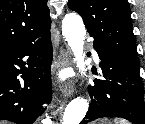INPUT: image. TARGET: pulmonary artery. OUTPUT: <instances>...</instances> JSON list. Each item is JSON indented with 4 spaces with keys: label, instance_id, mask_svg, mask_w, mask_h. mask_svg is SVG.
<instances>
[{
    "label": "pulmonary artery",
    "instance_id": "1",
    "mask_svg": "<svg viewBox=\"0 0 145 124\" xmlns=\"http://www.w3.org/2000/svg\"><path fill=\"white\" fill-rule=\"evenodd\" d=\"M93 57L98 60V54L95 51H93Z\"/></svg>",
    "mask_w": 145,
    "mask_h": 124
}]
</instances>
